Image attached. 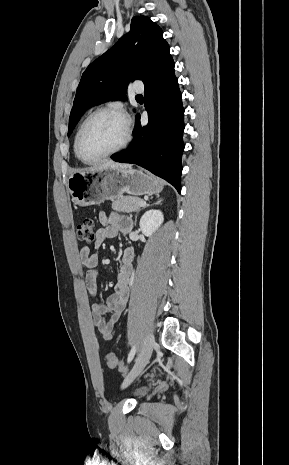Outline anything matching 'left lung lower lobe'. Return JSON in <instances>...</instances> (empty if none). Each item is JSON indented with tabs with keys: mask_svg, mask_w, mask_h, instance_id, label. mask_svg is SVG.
I'll return each instance as SVG.
<instances>
[{
	"mask_svg": "<svg viewBox=\"0 0 289 465\" xmlns=\"http://www.w3.org/2000/svg\"><path fill=\"white\" fill-rule=\"evenodd\" d=\"M148 124L141 126L136 116L130 148L115 153L116 162L134 163L171 183L181 192V156L184 150V108L174 70L145 86Z\"/></svg>",
	"mask_w": 289,
	"mask_h": 465,
	"instance_id": "obj_1",
	"label": "left lung lower lobe"
}]
</instances>
